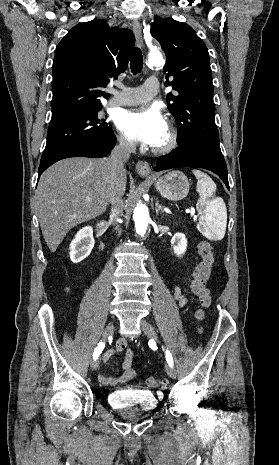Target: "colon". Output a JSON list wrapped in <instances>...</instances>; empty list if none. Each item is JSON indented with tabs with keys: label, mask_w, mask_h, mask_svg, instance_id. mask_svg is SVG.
<instances>
[{
	"label": "colon",
	"mask_w": 279,
	"mask_h": 465,
	"mask_svg": "<svg viewBox=\"0 0 279 465\" xmlns=\"http://www.w3.org/2000/svg\"><path fill=\"white\" fill-rule=\"evenodd\" d=\"M197 251L201 260L195 267L191 282V289L199 298L202 306V309L197 312V317L199 319H203V309L209 307L211 304V294L207 287V283L212 273L215 260V250L210 242L204 241L198 245ZM146 384L150 388H157L162 384V382L159 378L151 376L146 379Z\"/></svg>",
	"instance_id": "5ec220e1"
}]
</instances>
